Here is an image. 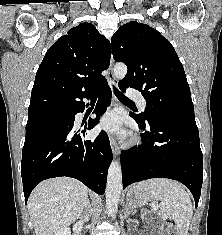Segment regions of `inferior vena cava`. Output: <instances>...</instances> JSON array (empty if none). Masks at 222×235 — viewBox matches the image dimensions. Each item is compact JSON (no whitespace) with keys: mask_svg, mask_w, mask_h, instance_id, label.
I'll return each mask as SVG.
<instances>
[{"mask_svg":"<svg viewBox=\"0 0 222 235\" xmlns=\"http://www.w3.org/2000/svg\"><path fill=\"white\" fill-rule=\"evenodd\" d=\"M87 219H88V215L85 216V220H87Z\"/></svg>","mask_w":222,"mask_h":235,"instance_id":"602c4592","label":"inferior vena cava"}]
</instances>
